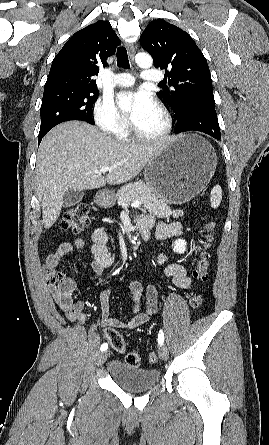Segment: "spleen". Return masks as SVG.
I'll list each match as a JSON object with an SVG mask.
<instances>
[{"instance_id": "3e777b00", "label": "spleen", "mask_w": 269, "mask_h": 445, "mask_svg": "<svg viewBox=\"0 0 269 445\" xmlns=\"http://www.w3.org/2000/svg\"><path fill=\"white\" fill-rule=\"evenodd\" d=\"M222 200V190L219 185H216L211 190L210 204L212 208H217Z\"/></svg>"}]
</instances>
